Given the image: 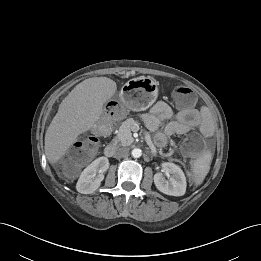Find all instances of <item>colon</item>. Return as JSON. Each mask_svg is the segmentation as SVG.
I'll return each instance as SVG.
<instances>
[{
	"label": "colon",
	"instance_id": "obj_1",
	"mask_svg": "<svg viewBox=\"0 0 261 261\" xmlns=\"http://www.w3.org/2000/svg\"><path fill=\"white\" fill-rule=\"evenodd\" d=\"M176 102L183 106L189 107L195 102V95L191 89L186 86L178 85L172 90ZM107 113L115 118L123 116V110L120 107H109ZM104 133L103 131H101ZM98 134H92L84 138L77 147L73 148L62 161V167L67 173L76 172L80 166L89 160L97 148ZM197 140L191 139L183 144V150L192 155L196 152Z\"/></svg>",
	"mask_w": 261,
	"mask_h": 261
}]
</instances>
